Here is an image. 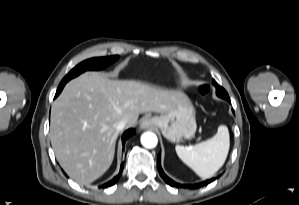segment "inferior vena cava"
Instances as JSON below:
<instances>
[{"mask_svg": "<svg viewBox=\"0 0 299 205\" xmlns=\"http://www.w3.org/2000/svg\"><path fill=\"white\" fill-rule=\"evenodd\" d=\"M126 124H127V120H122V121L116 123L115 127L118 131H121L125 128Z\"/></svg>", "mask_w": 299, "mask_h": 205, "instance_id": "obj_1", "label": "inferior vena cava"}]
</instances>
